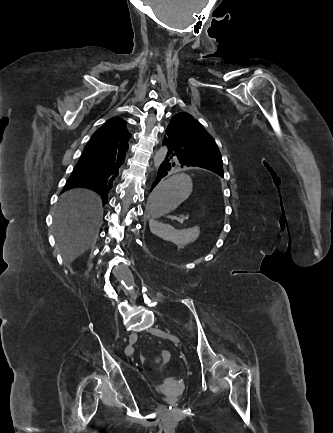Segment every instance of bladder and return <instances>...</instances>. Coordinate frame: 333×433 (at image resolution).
Wrapping results in <instances>:
<instances>
[{
    "instance_id": "31cf9c89",
    "label": "bladder",
    "mask_w": 333,
    "mask_h": 433,
    "mask_svg": "<svg viewBox=\"0 0 333 433\" xmlns=\"http://www.w3.org/2000/svg\"><path fill=\"white\" fill-rule=\"evenodd\" d=\"M163 397L167 402H177L181 399V396L176 394H164Z\"/></svg>"
}]
</instances>
